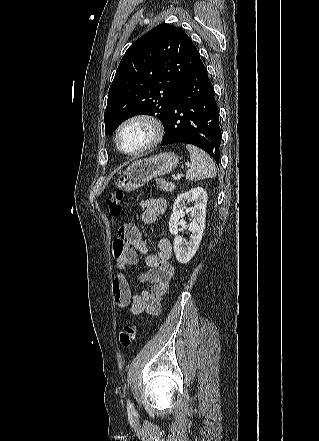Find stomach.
<instances>
[{
    "label": "stomach",
    "mask_w": 319,
    "mask_h": 441,
    "mask_svg": "<svg viewBox=\"0 0 319 441\" xmlns=\"http://www.w3.org/2000/svg\"><path fill=\"white\" fill-rule=\"evenodd\" d=\"M178 164L174 153H161L154 157L137 160L127 167L115 181L119 190L134 191L152 178L172 172Z\"/></svg>",
    "instance_id": "obj_1"
}]
</instances>
